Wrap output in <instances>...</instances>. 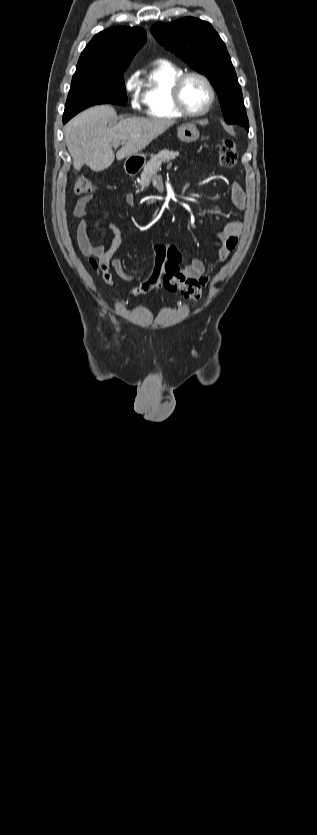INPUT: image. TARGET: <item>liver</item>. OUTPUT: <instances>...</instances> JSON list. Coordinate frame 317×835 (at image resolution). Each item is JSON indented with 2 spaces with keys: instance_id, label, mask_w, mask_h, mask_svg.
<instances>
[{
  "instance_id": "1",
  "label": "liver",
  "mask_w": 317,
  "mask_h": 835,
  "mask_svg": "<svg viewBox=\"0 0 317 835\" xmlns=\"http://www.w3.org/2000/svg\"><path fill=\"white\" fill-rule=\"evenodd\" d=\"M116 117L113 107L100 105L66 124L64 136L75 169L86 164L93 171H102L114 162L113 147L122 144L116 153L118 160L136 155L174 124L164 119L125 118L108 127Z\"/></svg>"
}]
</instances>
